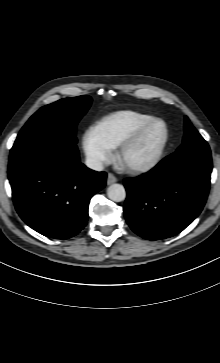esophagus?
I'll return each instance as SVG.
<instances>
[{
    "mask_svg": "<svg viewBox=\"0 0 220 363\" xmlns=\"http://www.w3.org/2000/svg\"><path fill=\"white\" fill-rule=\"evenodd\" d=\"M115 182H117V178L113 174L108 173V175H107V184L110 185V184H113Z\"/></svg>",
    "mask_w": 220,
    "mask_h": 363,
    "instance_id": "34e87169",
    "label": "esophagus"
}]
</instances>
